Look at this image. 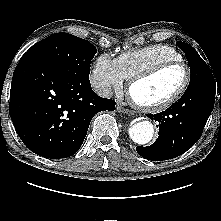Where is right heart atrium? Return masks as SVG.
I'll use <instances>...</instances> for the list:
<instances>
[{
  "label": "right heart atrium",
  "mask_w": 221,
  "mask_h": 221,
  "mask_svg": "<svg viewBox=\"0 0 221 221\" xmlns=\"http://www.w3.org/2000/svg\"><path fill=\"white\" fill-rule=\"evenodd\" d=\"M89 78L92 86L103 94L120 92L125 81L117 60L108 54H101L95 59Z\"/></svg>",
  "instance_id": "1"
}]
</instances>
